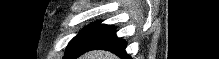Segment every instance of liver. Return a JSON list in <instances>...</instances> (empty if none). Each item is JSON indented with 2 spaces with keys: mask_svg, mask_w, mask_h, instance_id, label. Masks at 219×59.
Segmentation results:
<instances>
[{
  "mask_svg": "<svg viewBox=\"0 0 219 59\" xmlns=\"http://www.w3.org/2000/svg\"><path fill=\"white\" fill-rule=\"evenodd\" d=\"M80 59H118V58L111 52L104 50H96L82 55Z\"/></svg>",
  "mask_w": 219,
  "mask_h": 59,
  "instance_id": "liver-1",
  "label": "liver"
}]
</instances>
